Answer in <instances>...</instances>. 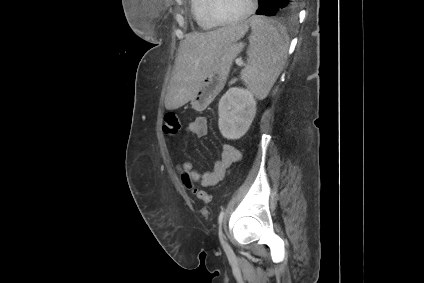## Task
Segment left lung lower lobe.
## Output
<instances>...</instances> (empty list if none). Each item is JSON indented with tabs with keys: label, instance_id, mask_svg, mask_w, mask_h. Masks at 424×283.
Masks as SVG:
<instances>
[{
	"label": "left lung lower lobe",
	"instance_id": "obj_1",
	"mask_svg": "<svg viewBox=\"0 0 424 283\" xmlns=\"http://www.w3.org/2000/svg\"><path fill=\"white\" fill-rule=\"evenodd\" d=\"M300 0H258L257 15L274 16L279 11H291L298 8Z\"/></svg>",
	"mask_w": 424,
	"mask_h": 283
}]
</instances>
